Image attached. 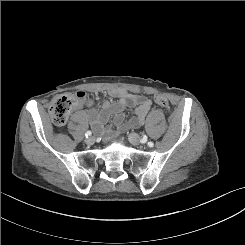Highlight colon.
<instances>
[{"label": "colon", "instance_id": "1", "mask_svg": "<svg viewBox=\"0 0 245 245\" xmlns=\"http://www.w3.org/2000/svg\"><path fill=\"white\" fill-rule=\"evenodd\" d=\"M85 98L86 93L84 91H77L74 94H62L55 97L49 107V113L53 122L58 126L64 125L71 111ZM154 101L165 111L169 112L171 110L170 102L166 97L156 95Z\"/></svg>", "mask_w": 245, "mask_h": 245}]
</instances>
